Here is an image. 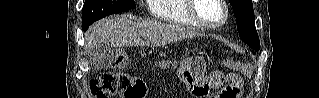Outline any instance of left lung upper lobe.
Listing matches in <instances>:
<instances>
[{
	"mask_svg": "<svg viewBox=\"0 0 319 98\" xmlns=\"http://www.w3.org/2000/svg\"><path fill=\"white\" fill-rule=\"evenodd\" d=\"M237 20L240 38L255 50L260 49V42L255 29V16L252 0H229Z\"/></svg>",
	"mask_w": 319,
	"mask_h": 98,
	"instance_id": "5c2ea615",
	"label": "left lung upper lobe"
}]
</instances>
